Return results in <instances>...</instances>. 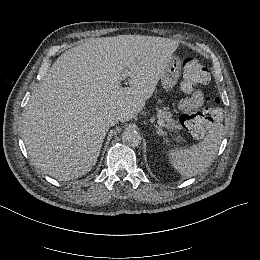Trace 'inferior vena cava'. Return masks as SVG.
I'll use <instances>...</instances> for the list:
<instances>
[{"mask_svg": "<svg viewBox=\"0 0 260 260\" xmlns=\"http://www.w3.org/2000/svg\"><path fill=\"white\" fill-rule=\"evenodd\" d=\"M119 121V117L117 114L114 113H110L107 117H106V126H114L115 124H117Z\"/></svg>", "mask_w": 260, "mask_h": 260, "instance_id": "obj_1", "label": "inferior vena cava"}]
</instances>
